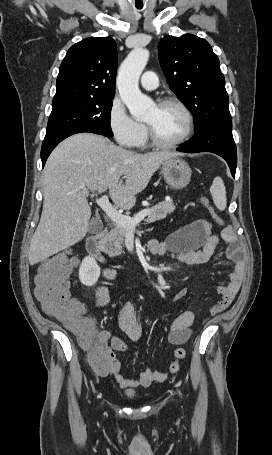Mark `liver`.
<instances>
[{
  "label": "liver",
  "mask_w": 272,
  "mask_h": 455,
  "mask_svg": "<svg viewBox=\"0 0 272 455\" xmlns=\"http://www.w3.org/2000/svg\"><path fill=\"white\" fill-rule=\"evenodd\" d=\"M178 155L170 151L135 153L91 133L65 139L44 168L43 210L29 247L30 265L85 237L91 217L86 193L109 190L118 207L130 210L160 165Z\"/></svg>",
  "instance_id": "liver-1"
}]
</instances>
